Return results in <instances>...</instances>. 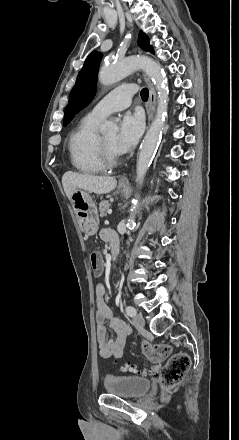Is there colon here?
<instances>
[{
  "label": "colon",
  "mask_w": 239,
  "mask_h": 440,
  "mask_svg": "<svg viewBox=\"0 0 239 440\" xmlns=\"http://www.w3.org/2000/svg\"><path fill=\"white\" fill-rule=\"evenodd\" d=\"M90 263L95 275H100L102 272L101 257L98 253H92L90 256ZM143 350L148 358L153 362L152 372L159 371L162 386L165 389L176 386L185 376L190 367V357L185 353H176L172 355L167 363L160 368L159 364L162 360L167 358L170 354V348L166 345H152L148 342H143ZM126 370L130 372H137L134 367H127Z\"/></svg>",
  "instance_id": "colon-1"
}]
</instances>
